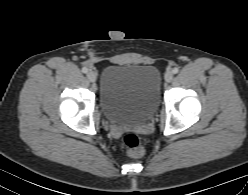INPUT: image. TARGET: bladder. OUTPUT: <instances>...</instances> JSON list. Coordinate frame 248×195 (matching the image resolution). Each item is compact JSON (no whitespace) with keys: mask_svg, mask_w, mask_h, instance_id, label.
<instances>
[{"mask_svg":"<svg viewBox=\"0 0 248 195\" xmlns=\"http://www.w3.org/2000/svg\"><path fill=\"white\" fill-rule=\"evenodd\" d=\"M161 75L153 65L115 64L100 76L99 104L111 123L138 126L155 112L161 97Z\"/></svg>","mask_w":248,"mask_h":195,"instance_id":"obj_1","label":"bladder"}]
</instances>
